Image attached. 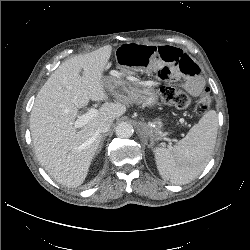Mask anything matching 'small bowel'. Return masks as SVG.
<instances>
[{
	"label": "small bowel",
	"instance_id": "c3829d8e",
	"mask_svg": "<svg viewBox=\"0 0 250 250\" xmlns=\"http://www.w3.org/2000/svg\"><path fill=\"white\" fill-rule=\"evenodd\" d=\"M115 61L117 70L126 75L166 82L182 80V87L193 95H198L204 86L198 65L177 48L124 44L116 50Z\"/></svg>",
	"mask_w": 250,
	"mask_h": 250
}]
</instances>
